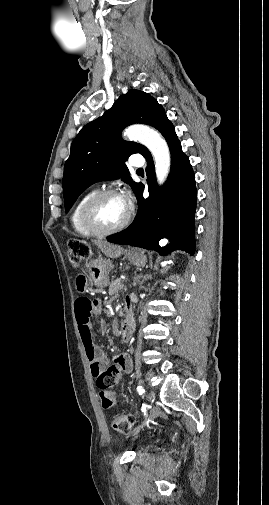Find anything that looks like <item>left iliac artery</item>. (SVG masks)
I'll return each instance as SVG.
<instances>
[{"label":"left iliac artery","instance_id":"obj_1","mask_svg":"<svg viewBox=\"0 0 269 505\" xmlns=\"http://www.w3.org/2000/svg\"><path fill=\"white\" fill-rule=\"evenodd\" d=\"M137 392L140 394V395H143L145 393V390L142 386H138L137 387ZM146 405H143V408H145Z\"/></svg>","mask_w":269,"mask_h":505}]
</instances>
